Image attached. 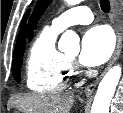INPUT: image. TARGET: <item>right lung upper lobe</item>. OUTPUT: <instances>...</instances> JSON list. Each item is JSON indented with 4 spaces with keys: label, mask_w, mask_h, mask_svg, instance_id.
I'll use <instances>...</instances> for the list:
<instances>
[{
    "label": "right lung upper lobe",
    "mask_w": 123,
    "mask_h": 113,
    "mask_svg": "<svg viewBox=\"0 0 123 113\" xmlns=\"http://www.w3.org/2000/svg\"><path fill=\"white\" fill-rule=\"evenodd\" d=\"M28 14H29V12H27L24 15V17H23V20H22V23H21V30L19 32L14 51H17V50L25 47V38H26V26H25V23H26Z\"/></svg>",
    "instance_id": "obj_1"
}]
</instances>
